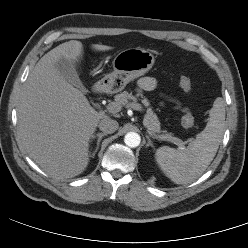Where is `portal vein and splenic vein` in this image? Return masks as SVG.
Segmentation results:
<instances>
[{
  "mask_svg": "<svg viewBox=\"0 0 248 248\" xmlns=\"http://www.w3.org/2000/svg\"><path fill=\"white\" fill-rule=\"evenodd\" d=\"M128 106L137 111L142 110V106L139 103L132 102V103H129ZM107 110L111 113H117L121 110V106L117 105L115 102H112L108 104ZM172 142L178 145L179 148L183 149L184 143L182 142V140L174 137Z\"/></svg>",
  "mask_w": 248,
  "mask_h": 248,
  "instance_id": "1",
  "label": "portal vein and splenic vein"
}]
</instances>
